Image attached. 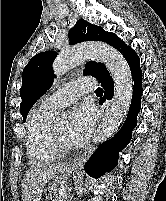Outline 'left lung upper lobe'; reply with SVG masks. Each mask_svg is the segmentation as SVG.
I'll use <instances>...</instances> for the list:
<instances>
[{"mask_svg":"<svg viewBox=\"0 0 166 201\" xmlns=\"http://www.w3.org/2000/svg\"><path fill=\"white\" fill-rule=\"evenodd\" d=\"M70 44L83 41H102L112 45L122 52L127 45L116 34L106 32L102 27L92 25L84 19L78 20L69 31ZM57 53L54 51L41 52L31 58L22 73V87L20 89V112L25 122L27 114L34 103L49 89L54 75L52 62ZM85 75H92L97 79L109 74L105 65L94 61L88 62L84 70Z\"/></svg>","mask_w":166,"mask_h":201,"instance_id":"5c2ea615","label":"left lung upper lobe"}]
</instances>
